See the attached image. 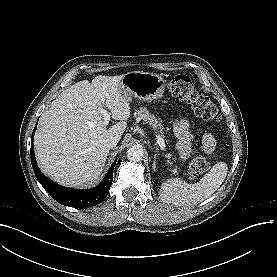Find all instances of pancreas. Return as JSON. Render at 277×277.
<instances>
[{
    "label": "pancreas",
    "mask_w": 277,
    "mask_h": 277,
    "mask_svg": "<svg viewBox=\"0 0 277 277\" xmlns=\"http://www.w3.org/2000/svg\"><path fill=\"white\" fill-rule=\"evenodd\" d=\"M134 116L139 119L143 120L146 123L150 125L163 139L164 138V132H163V126L161 124V121L159 118H157L154 114L150 113L147 108H140L134 113ZM172 154H167V158L170 159ZM170 165H172L171 161H168ZM174 174H177V166L173 167L171 170Z\"/></svg>",
    "instance_id": "obj_1"
}]
</instances>
